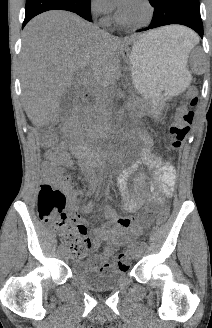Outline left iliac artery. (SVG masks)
Masks as SVG:
<instances>
[{"label":"left iliac artery","mask_w":212,"mask_h":328,"mask_svg":"<svg viewBox=\"0 0 212 328\" xmlns=\"http://www.w3.org/2000/svg\"><path fill=\"white\" fill-rule=\"evenodd\" d=\"M140 245H141L142 247H146V246H147L146 242H144V241H141Z\"/></svg>","instance_id":"1"}]
</instances>
